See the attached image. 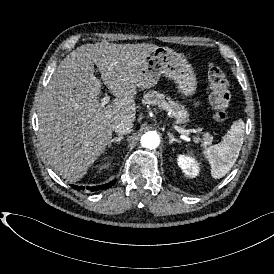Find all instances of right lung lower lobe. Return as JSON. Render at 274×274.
Wrapping results in <instances>:
<instances>
[{
    "label": "right lung lower lobe",
    "mask_w": 274,
    "mask_h": 274,
    "mask_svg": "<svg viewBox=\"0 0 274 274\" xmlns=\"http://www.w3.org/2000/svg\"><path fill=\"white\" fill-rule=\"evenodd\" d=\"M116 182V180H113L105 185H99V186H94V187H86L87 190H90V191H98V190H103V189H107L109 187H111L112 185H114ZM73 188L77 189V190H84V186H75V185H72Z\"/></svg>",
    "instance_id": "98d812e1"
}]
</instances>
